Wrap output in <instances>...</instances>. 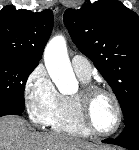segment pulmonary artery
I'll return each mask as SVG.
<instances>
[{
  "mask_svg": "<svg viewBox=\"0 0 139 150\" xmlns=\"http://www.w3.org/2000/svg\"><path fill=\"white\" fill-rule=\"evenodd\" d=\"M72 68L74 72L79 76L82 77L83 79L90 80L92 73H93V68L90 64V62L83 56L81 55H75L72 58Z\"/></svg>",
  "mask_w": 139,
  "mask_h": 150,
  "instance_id": "obj_1",
  "label": "pulmonary artery"
}]
</instances>
